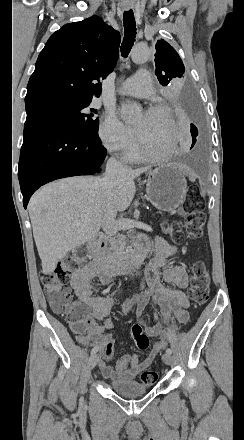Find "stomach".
Returning <instances> with one entry per match:
<instances>
[{"label": "stomach", "instance_id": "stomach-1", "mask_svg": "<svg viewBox=\"0 0 244 440\" xmlns=\"http://www.w3.org/2000/svg\"><path fill=\"white\" fill-rule=\"evenodd\" d=\"M187 182L177 166L166 164L148 174L147 200L162 212H173L186 198Z\"/></svg>", "mask_w": 244, "mask_h": 440}]
</instances>
